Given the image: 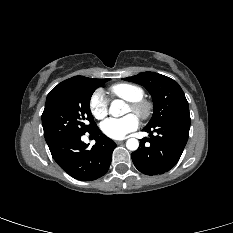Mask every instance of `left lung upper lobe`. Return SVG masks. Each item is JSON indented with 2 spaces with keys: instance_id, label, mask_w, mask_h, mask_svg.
I'll use <instances>...</instances> for the list:
<instances>
[{
  "instance_id": "5c2ea615",
  "label": "left lung upper lobe",
  "mask_w": 233,
  "mask_h": 233,
  "mask_svg": "<svg viewBox=\"0 0 233 233\" xmlns=\"http://www.w3.org/2000/svg\"><path fill=\"white\" fill-rule=\"evenodd\" d=\"M124 80L144 86L153 98V116L145 128H151L168 118L189 113L184 92L173 79L155 72H143Z\"/></svg>"
}]
</instances>
